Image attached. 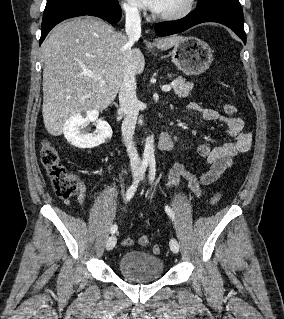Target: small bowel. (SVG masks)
<instances>
[{
    "instance_id": "obj_1",
    "label": "small bowel",
    "mask_w": 284,
    "mask_h": 319,
    "mask_svg": "<svg viewBox=\"0 0 284 319\" xmlns=\"http://www.w3.org/2000/svg\"><path fill=\"white\" fill-rule=\"evenodd\" d=\"M188 109L200 112L206 120L224 123L228 128L229 136L233 139L231 142L216 146L207 143L197 146V154L205 159L207 169L194 173L182 163H177L171 168V184L167 190L175 187L179 180L184 178L188 182L189 190L199 197L202 195L201 186L216 182L224 172L231 168L234 157L250 149L252 134L244 131V122L239 117H226L214 109L202 108L196 103H190ZM85 198V189L82 187L77 198L80 207H83Z\"/></svg>"
}]
</instances>
